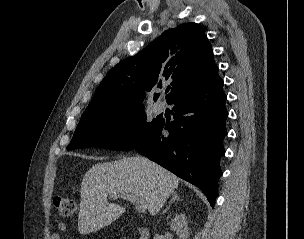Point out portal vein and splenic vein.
<instances>
[{
	"label": "portal vein and splenic vein",
	"instance_id": "obj_1",
	"mask_svg": "<svg viewBox=\"0 0 304 239\" xmlns=\"http://www.w3.org/2000/svg\"><path fill=\"white\" fill-rule=\"evenodd\" d=\"M110 198H122L128 200L131 203H134L136 205V208L141 212H144L147 208L145 200L133 194H112L110 195Z\"/></svg>",
	"mask_w": 304,
	"mask_h": 239
}]
</instances>
